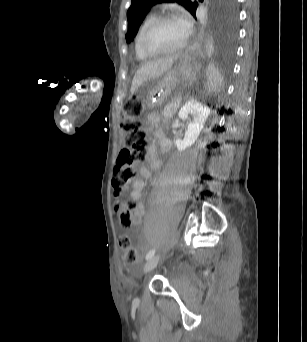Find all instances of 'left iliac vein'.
Wrapping results in <instances>:
<instances>
[{
    "label": "left iliac vein",
    "mask_w": 307,
    "mask_h": 342,
    "mask_svg": "<svg viewBox=\"0 0 307 342\" xmlns=\"http://www.w3.org/2000/svg\"><path fill=\"white\" fill-rule=\"evenodd\" d=\"M160 258H161L160 254H157V255L152 256L150 259H148V261L146 262V264L144 266V271L149 272L150 270L155 268L157 266Z\"/></svg>",
    "instance_id": "4c4485c4"
}]
</instances>
